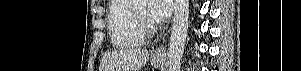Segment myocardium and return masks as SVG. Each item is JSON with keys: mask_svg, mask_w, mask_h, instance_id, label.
<instances>
[{"mask_svg": "<svg viewBox=\"0 0 301 71\" xmlns=\"http://www.w3.org/2000/svg\"><path fill=\"white\" fill-rule=\"evenodd\" d=\"M131 11L133 14V17L135 19L136 24L138 25L139 29L145 34L148 35L153 31V25L149 18L141 15L136 5L133 3L131 5Z\"/></svg>", "mask_w": 301, "mask_h": 71, "instance_id": "myocardium-1", "label": "myocardium"}]
</instances>
